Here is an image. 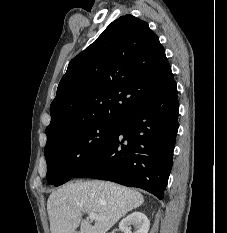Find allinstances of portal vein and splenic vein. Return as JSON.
<instances>
[{
	"label": "portal vein and splenic vein",
	"mask_w": 227,
	"mask_h": 233,
	"mask_svg": "<svg viewBox=\"0 0 227 233\" xmlns=\"http://www.w3.org/2000/svg\"><path fill=\"white\" fill-rule=\"evenodd\" d=\"M89 218H90V220H101L102 219V217H100V216H97L95 213H93V212H90L89 214Z\"/></svg>",
	"instance_id": "1"
}]
</instances>
